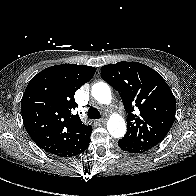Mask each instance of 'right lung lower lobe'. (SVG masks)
<instances>
[{"label":"right lung lower lobe","mask_w":196,"mask_h":196,"mask_svg":"<svg viewBox=\"0 0 196 196\" xmlns=\"http://www.w3.org/2000/svg\"><path fill=\"white\" fill-rule=\"evenodd\" d=\"M90 135L91 132L86 135L84 138H82L73 148L69 149L67 152L59 154L60 157H72L76 156L82 152H84L90 143Z\"/></svg>","instance_id":"obj_1"}]
</instances>
